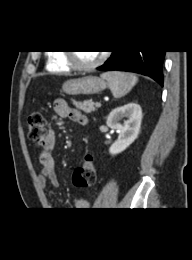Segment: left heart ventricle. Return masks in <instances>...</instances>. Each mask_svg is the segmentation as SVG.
Returning <instances> with one entry per match:
<instances>
[{
	"label": "left heart ventricle",
	"instance_id": "1",
	"mask_svg": "<svg viewBox=\"0 0 192 260\" xmlns=\"http://www.w3.org/2000/svg\"><path fill=\"white\" fill-rule=\"evenodd\" d=\"M76 59L81 64H91L100 57L96 51H79L75 53Z\"/></svg>",
	"mask_w": 192,
	"mask_h": 260
}]
</instances>
